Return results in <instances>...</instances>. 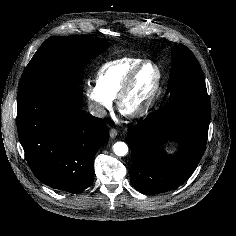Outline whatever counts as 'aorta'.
<instances>
[{"instance_id": "obj_1", "label": "aorta", "mask_w": 236, "mask_h": 236, "mask_svg": "<svg viewBox=\"0 0 236 236\" xmlns=\"http://www.w3.org/2000/svg\"><path fill=\"white\" fill-rule=\"evenodd\" d=\"M113 151L119 157L125 156L128 153V146L124 142H116Z\"/></svg>"}]
</instances>
